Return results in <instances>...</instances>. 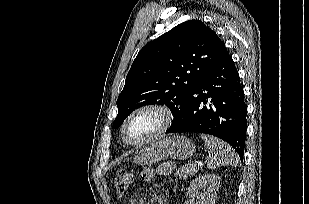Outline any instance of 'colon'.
Segmentation results:
<instances>
[{
  "instance_id": "1",
  "label": "colon",
  "mask_w": 309,
  "mask_h": 204,
  "mask_svg": "<svg viewBox=\"0 0 309 204\" xmlns=\"http://www.w3.org/2000/svg\"><path fill=\"white\" fill-rule=\"evenodd\" d=\"M132 180L133 176L130 172L127 170H120L114 179V187L117 194L124 195L127 192Z\"/></svg>"
}]
</instances>
